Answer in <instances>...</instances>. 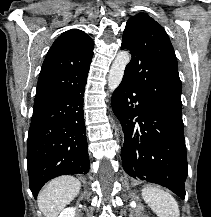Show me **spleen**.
<instances>
[{
  "instance_id": "obj_1",
  "label": "spleen",
  "mask_w": 211,
  "mask_h": 217,
  "mask_svg": "<svg viewBox=\"0 0 211 217\" xmlns=\"http://www.w3.org/2000/svg\"><path fill=\"white\" fill-rule=\"evenodd\" d=\"M142 196L158 217H180L178 203L170 193L149 186L142 190Z\"/></svg>"
}]
</instances>
